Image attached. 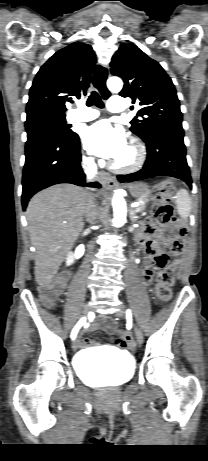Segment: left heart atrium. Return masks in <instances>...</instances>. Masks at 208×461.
Returning <instances> with one entry per match:
<instances>
[{"label":"left heart atrium","mask_w":208,"mask_h":461,"mask_svg":"<svg viewBox=\"0 0 208 461\" xmlns=\"http://www.w3.org/2000/svg\"><path fill=\"white\" fill-rule=\"evenodd\" d=\"M85 148L92 154L108 158H118L126 147V138L121 128H114L106 120L89 126L84 134Z\"/></svg>","instance_id":"obj_1"}]
</instances>
